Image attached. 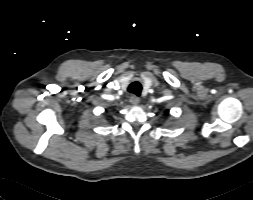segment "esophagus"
<instances>
[{
	"label": "esophagus",
	"instance_id": "esophagus-1",
	"mask_svg": "<svg viewBox=\"0 0 253 200\" xmlns=\"http://www.w3.org/2000/svg\"><path fill=\"white\" fill-rule=\"evenodd\" d=\"M130 102L133 104V105H138L139 102H140V98L136 95H131L130 96Z\"/></svg>",
	"mask_w": 253,
	"mask_h": 200
}]
</instances>
